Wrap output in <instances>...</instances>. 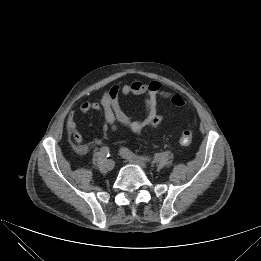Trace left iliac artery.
<instances>
[{
    "label": "left iliac artery",
    "instance_id": "1",
    "mask_svg": "<svg viewBox=\"0 0 261 261\" xmlns=\"http://www.w3.org/2000/svg\"><path fill=\"white\" fill-rule=\"evenodd\" d=\"M121 151L130 158H138V159H141L146 162L150 161V159H151L149 156L136 154V153L132 152L131 150H129L128 148H122Z\"/></svg>",
    "mask_w": 261,
    "mask_h": 261
}]
</instances>
